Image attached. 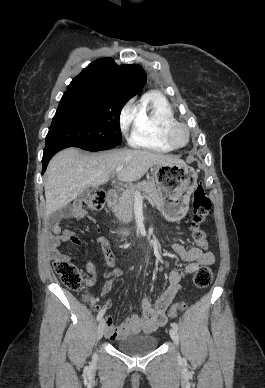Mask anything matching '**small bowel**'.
Returning a JSON list of instances; mask_svg holds the SVG:
<instances>
[{
	"label": "small bowel",
	"mask_w": 265,
	"mask_h": 388,
	"mask_svg": "<svg viewBox=\"0 0 265 388\" xmlns=\"http://www.w3.org/2000/svg\"><path fill=\"white\" fill-rule=\"evenodd\" d=\"M61 218L76 220L92 218L89 217L79 202H75L51 219L50 229L54 234V237L52 238L49 248L50 257L55 261H69V256L62 254L59 251L60 244L69 241L75 245H79L81 244V241L72 231L66 230L61 234L59 225ZM93 243L100 247L107 266V271L105 272L106 281L104 282L100 293L101 296H105L111 291L114 280L122 275V271L115 266V258L107 238L97 236L94 238ZM172 249L180 259L187 264L183 268L173 269L169 273L168 280L170 285L166 291L157 298L154 304H152L151 300L147 297L141 299L142 315L132 314L119 326L114 325L112 317L106 316L104 318V330L105 335L109 339L118 340L130 334L150 333L159 327L164 326L168 320L167 310L180 290V282L186 276L196 272L200 266L211 265L215 261V255L212 252L204 251L199 246L185 247L183 244L175 243L173 244ZM85 269L89 274V277L85 280V284L89 287L93 286L97 280L96 267L90 260H85ZM98 301V297L91 298V304L97 309H99V307L96 306ZM112 304L113 302L111 299L107 300L100 311L105 310L106 312L111 308Z\"/></svg>",
	"instance_id": "c3829d8e"
}]
</instances>
